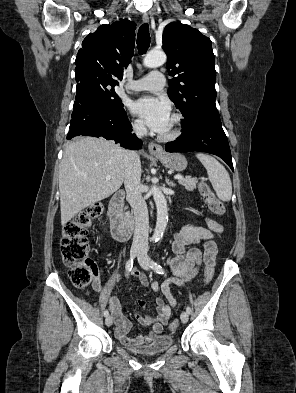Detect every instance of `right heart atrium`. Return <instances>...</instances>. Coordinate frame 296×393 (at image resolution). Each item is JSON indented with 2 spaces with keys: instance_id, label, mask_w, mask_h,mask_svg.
I'll list each match as a JSON object with an SVG mask.
<instances>
[{
  "instance_id": "obj_1",
  "label": "right heart atrium",
  "mask_w": 296,
  "mask_h": 393,
  "mask_svg": "<svg viewBox=\"0 0 296 393\" xmlns=\"http://www.w3.org/2000/svg\"><path fill=\"white\" fill-rule=\"evenodd\" d=\"M132 129L137 134H142L145 132V126L143 125V123L140 120L132 121Z\"/></svg>"
}]
</instances>
